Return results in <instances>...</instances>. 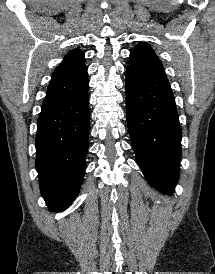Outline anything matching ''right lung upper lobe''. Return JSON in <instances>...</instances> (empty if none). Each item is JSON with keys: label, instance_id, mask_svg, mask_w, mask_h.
Segmentation results:
<instances>
[{"label": "right lung upper lobe", "instance_id": "1", "mask_svg": "<svg viewBox=\"0 0 215 274\" xmlns=\"http://www.w3.org/2000/svg\"><path fill=\"white\" fill-rule=\"evenodd\" d=\"M84 53L71 50L52 74L42 108L56 105L76 94L87 83Z\"/></svg>", "mask_w": 215, "mask_h": 274}]
</instances>
